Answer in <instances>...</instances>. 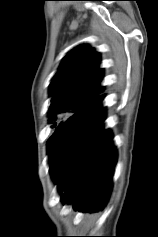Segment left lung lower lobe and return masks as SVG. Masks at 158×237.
<instances>
[{"label": "left lung lower lobe", "instance_id": "1", "mask_svg": "<svg viewBox=\"0 0 158 237\" xmlns=\"http://www.w3.org/2000/svg\"><path fill=\"white\" fill-rule=\"evenodd\" d=\"M104 96L64 121L48 140L52 176L75 209L101 210L109 197L116 163L112 135L102 127Z\"/></svg>", "mask_w": 158, "mask_h": 237}]
</instances>
